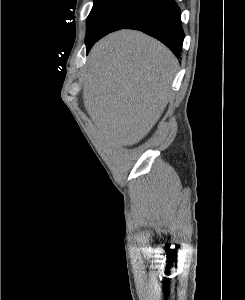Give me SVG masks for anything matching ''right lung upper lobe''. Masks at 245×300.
<instances>
[{
    "mask_svg": "<svg viewBox=\"0 0 245 300\" xmlns=\"http://www.w3.org/2000/svg\"><path fill=\"white\" fill-rule=\"evenodd\" d=\"M143 1H158L159 3H163V2L168 1V0H143Z\"/></svg>",
    "mask_w": 245,
    "mask_h": 300,
    "instance_id": "right-lung-upper-lobe-1",
    "label": "right lung upper lobe"
}]
</instances>
